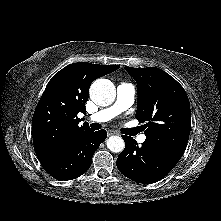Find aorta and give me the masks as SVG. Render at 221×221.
Listing matches in <instances>:
<instances>
[{
  "mask_svg": "<svg viewBox=\"0 0 221 221\" xmlns=\"http://www.w3.org/2000/svg\"><path fill=\"white\" fill-rule=\"evenodd\" d=\"M90 97L99 106L111 105L116 97V90L114 84L108 79H97L90 87ZM107 148L119 153L123 151L125 143L119 136H111L107 139Z\"/></svg>",
  "mask_w": 221,
  "mask_h": 221,
  "instance_id": "1",
  "label": "aorta"
}]
</instances>
